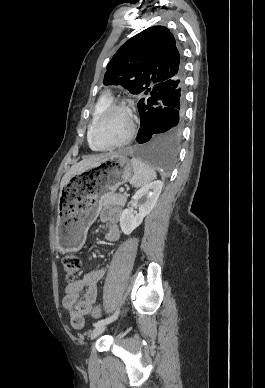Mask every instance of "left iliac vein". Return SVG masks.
Instances as JSON below:
<instances>
[{"label":"left iliac vein","instance_id":"4c4485c4","mask_svg":"<svg viewBox=\"0 0 265 388\" xmlns=\"http://www.w3.org/2000/svg\"><path fill=\"white\" fill-rule=\"evenodd\" d=\"M106 326L107 324H102V325H98L96 326L93 331L91 332V339H95L96 337H98L101 333L104 332V330L106 329Z\"/></svg>","mask_w":265,"mask_h":388}]
</instances>
